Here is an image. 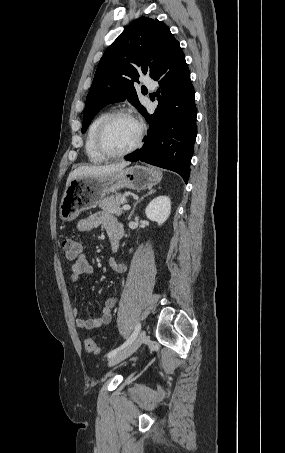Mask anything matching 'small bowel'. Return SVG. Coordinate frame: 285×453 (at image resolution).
Listing matches in <instances>:
<instances>
[{"label":"small bowel","instance_id":"1","mask_svg":"<svg viewBox=\"0 0 285 453\" xmlns=\"http://www.w3.org/2000/svg\"><path fill=\"white\" fill-rule=\"evenodd\" d=\"M103 226L109 240L112 243H119L123 236L122 224L111 214L107 212H97L86 218L81 219L77 223L79 232H89L94 228ZM111 267L117 272H125L127 266L123 263H117L113 259L109 260ZM94 273V267L87 260L86 256L81 254L71 267V279L77 283ZM116 297H109L105 301L102 313L99 317L83 319L79 318V310L73 308V315L77 317L76 325L78 328L92 330L103 325H107L112 320V310L116 306Z\"/></svg>","mask_w":285,"mask_h":453}]
</instances>
